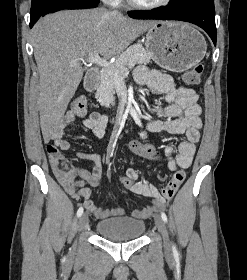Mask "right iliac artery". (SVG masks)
<instances>
[{"label":"right iliac artery","mask_w":247,"mask_h":280,"mask_svg":"<svg viewBox=\"0 0 247 280\" xmlns=\"http://www.w3.org/2000/svg\"><path fill=\"white\" fill-rule=\"evenodd\" d=\"M83 214V207H80L77 211V217H80Z\"/></svg>","instance_id":"right-iliac-artery-1"}]
</instances>
